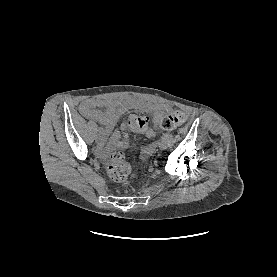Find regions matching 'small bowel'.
<instances>
[{"instance_id":"c3829d8e","label":"small bowel","mask_w":277,"mask_h":277,"mask_svg":"<svg viewBox=\"0 0 277 277\" xmlns=\"http://www.w3.org/2000/svg\"><path fill=\"white\" fill-rule=\"evenodd\" d=\"M140 106L141 104L139 102L124 98L118 100L111 98H87L81 102L79 110L86 118L98 121L103 125L99 131V145L103 146L107 135L113 130L119 116L129 108H138ZM149 108L157 125L167 108L162 104H151ZM147 135L149 137H155L156 128L149 131ZM119 137L120 133L116 131L113 134V139L117 140Z\"/></svg>"}]
</instances>
